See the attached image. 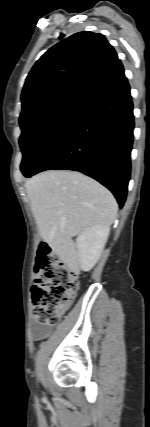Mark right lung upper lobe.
I'll list each match as a JSON object with an SVG mask.
<instances>
[{"instance_id":"1","label":"right lung upper lobe","mask_w":150,"mask_h":427,"mask_svg":"<svg viewBox=\"0 0 150 427\" xmlns=\"http://www.w3.org/2000/svg\"><path fill=\"white\" fill-rule=\"evenodd\" d=\"M124 76L104 35L83 31L50 48L33 66L22 90L21 116L43 106H80Z\"/></svg>"}]
</instances>
